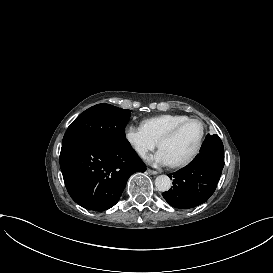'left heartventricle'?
I'll use <instances>...</instances> for the list:
<instances>
[{
	"label": "left heart ventricle",
	"mask_w": 273,
	"mask_h": 273,
	"mask_svg": "<svg viewBox=\"0 0 273 273\" xmlns=\"http://www.w3.org/2000/svg\"><path fill=\"white\" fill-rule=\"evenodd\" d=\"M200 134V124L192 122L184 127L175 137L164 141L161 148L166 150L172 163L183 161L194 151Z\"/></svg>",
	"instance_id": "obj_1"
}]
</instances>
